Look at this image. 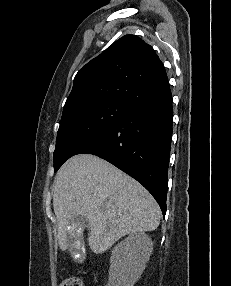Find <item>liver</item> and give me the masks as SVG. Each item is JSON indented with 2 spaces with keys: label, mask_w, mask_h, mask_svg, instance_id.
Returning a JSON list of instances; mask_svg holds the SVG:
<instances>
[{
  "label": "liver",
  "mask_w": 231,
  "mask_h": 286,
  "mask_svg": "<svg viewBox=\"0 0 231 286\" xmlns=\"http://www.w3.org/2000/svg\"><path fill=\"white\" fill-rule=\"evenodd\" d=\"M53 208L60 249L69 246L70 220L82 215L89 222L88 243L96 254L125 235L155 230L161 217L159 205L140 183L91 154L75 155L60 168Z\"/></svg>",
  "instance_id": "obj_1"
}]
</instances>
